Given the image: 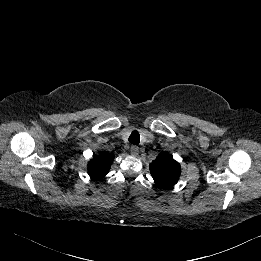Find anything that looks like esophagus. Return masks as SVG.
I'll return each mask as SVG.
<instances>
[{
  "mask_svg": "<svg viewBox=\"0 0 261 261\" xmlns=\"http://www.w3.org/2000/svg\"><path fill=\"white\" fill-rule=\"evenodd\" d=\"M130 153L132 156H137L139 154V148L138 146H135L133 145L131 148H130Z\"/></svg>",
  "mask_w": 261,
  "mask_h": 261,
  "instance_id": "obj_1",
  "label": "esophagus"
}]
</instances>
